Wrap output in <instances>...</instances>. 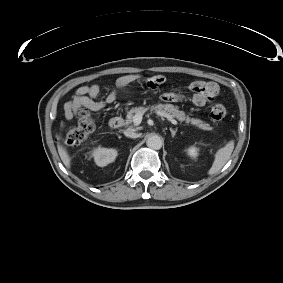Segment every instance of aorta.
<instances>
[{"mask_svg": "<svg viewBox=\"0 0 283 283\" xmlns=\"http://www.w3.org/2000/svg\"><path fill=\"white\" fill-rule=\"evenodd\" d=\"M146 145L153 150H159L162 147V139L158 135H151L147 138Z\"/></svg>", "mask_w": 283, "mask_h": 283, "instance_id": "1", "label": "aorta"}]
</instances>
